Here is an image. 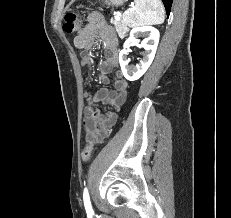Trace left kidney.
<instances>
[{
	"label": "left kidney",
	"instance_id": "obj_1",
	"mask_svg": "<svg viewBox=\"0 0 231 218\" xmlns=\"http://www.w3.org/2000/svg\"><path fill=\"white\" fill-rule=\"evenodd\" d=\"M146 36L142 41V47L145 49L144 57L136 67L128 66V52L131 43L137 41L140 36ZM159 43V31L152 26L135 27L130 32V37L125 41L123 49L119 53V63L122 73L127 80L134 81L139 79L151 65L157 46Z\"/></svg>",
	"mask_w": 231,
	"mask_h": 218
}]
</instances>
